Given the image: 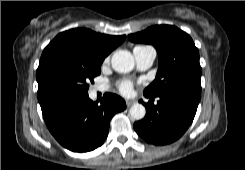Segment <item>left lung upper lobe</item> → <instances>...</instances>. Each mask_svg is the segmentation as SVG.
I'll list each match as a JSON object with an SVG mask.
<instances>
[{"label":"left lung upper lobe","mask_w":245,"mask_h":170,"mask_svg":"<svg viewBox=\"0 0 245 170\" xmlns=\"http://www.w3.org/2000/svg\"><path fill=\"white\" fill-rule=\"evenodd\" d=\"M135 43L152 44L159 55V68L155 80L144 90L148 96L183 91L200 97L201 66L199 51L191 37L175 26L156 25L130 34Z\"/></svg>","instance_id":"1"}]
</instances>
